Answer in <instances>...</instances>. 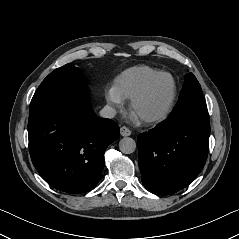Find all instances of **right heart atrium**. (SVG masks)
<instances>
[{"mask_svg": "<svg viewBox=\"0 0 239 239\" xmlns=\"http://www.w3.org/2000/svg\"><path fill=\"white\" fill-rule=\"evenodd\" d=\"M105 100L108 106L112 109H117L123 104V98L118 94L114 87H108L106 89Z\"/></svg>", "mask_w": 239, "mask_h": 239, "instance_id": "obj_1", "label": "right heart atrium"}]
</instances>
